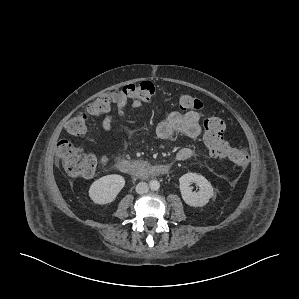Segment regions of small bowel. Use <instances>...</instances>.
<instances>
[{"label": "small bowel", "instance_id": "c3829d8e", "mask_svg": "<svg viewBox=\"0 0 299 299\" xmlns=\"http://www.w3.org/2000/svg\"><path fill=\"white\" fill-rule=\"evenodd\" d=\"M110 101L115 105V112L118 116H125L127 112L138 109L142 102L132 100L126 96L122 90L112 92L108 95ZM201 114L198 112L182 113L174 111L168 117L160 122L156 127V135L159 139L165 140L171 138L177 133H182L190 138H197L202 133L200 125ZM113 114L111 110L105 114L101 129L104 133L111 130ZM193 151L189 147H182L178 150L176 158L179 161H185L191 158Z\"/></svg>", "mask_w": 299, "mask_h": 299}]
</instances>
